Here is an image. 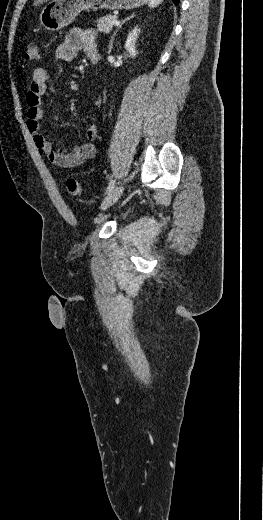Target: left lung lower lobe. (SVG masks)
Segmentation results:
<instances>
[{
    "instance_id": "left-lung-lower-lobe-1",
    "label": "left lung lower lobe",
    "mask_w": 263,
    "mask_h": 520,
    "mask_svg": "<svg viewBox=\"0 0 263 520\" xmlns=\"http://www.w3.org/2000/svg\"><path fill=\"white\" fill-rule=\"evenodd\" d=\"M175 5L178 4L179 0H172Z\"/></svg>"
}]
</instances>
